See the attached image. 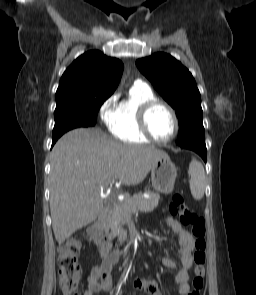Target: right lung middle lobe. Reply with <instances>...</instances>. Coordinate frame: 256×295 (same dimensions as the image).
Returning a JSON list of instances; mask_svg holds the SVG:
<instances>
[{
  "label": "right lung middle lobe",
  "instance_id": "obj_1",
  "mask_svg": "<svg viewBox=\"0 0 256 295\" xmlns=\"http://www.w3.org/2000/svg\"><path fill=\"white\" fill-rule=\"evenodd\" d=\"M106 99L98 98L77 103L57 104L54 112L55 126L53 134L84 127L89 119L96 121L98 111Z\"/></svg>",
  "mask_w": 256,
  "mask_h": 295
}]
</instances>
